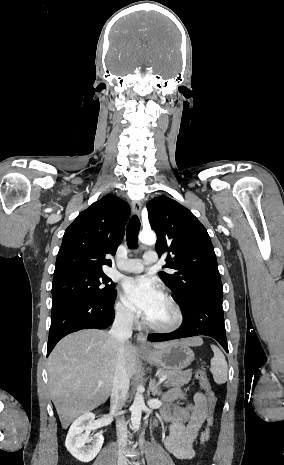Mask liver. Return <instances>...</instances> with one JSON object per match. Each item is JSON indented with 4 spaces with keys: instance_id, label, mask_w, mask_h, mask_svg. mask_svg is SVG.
<instances>
[{
    "instance_id": "obj_1",
    "label": "liver",
    "mask_w": 284,
    "mask_h": 465,
    "mask_svg": "<svg viewBox=\"0 0 284 465\" xmlns=\"http://www.w3.org/2000/svg\"><path fill=\"white\" fill-rule=\"evenodd\" d=\"M188 347L203 345L201 337L184 339ZM116 341L104 331H80L59 341L48 359L51 399L63 429L107 401L115 377ZM168 343H156L165 349ZM137 351L130 341L124 343L125 367L129 379L136 373ZM103 381V383H99Z\"/></svg>"
}]
</instances>
